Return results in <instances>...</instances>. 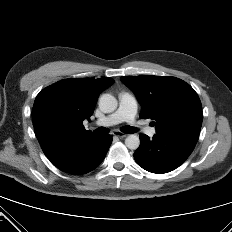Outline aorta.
<instances>
[{
    "label": "aorta",
    "instance_id": "aorta-1",
    "mask_svg": "<svg viewBox=\"0 0 232 232\" xmlns=\"http://www.w3.org/2000/svg\"><path fill=\"white\" fill-rule=\"evenodd\" d=\"M118 102L111 94H103L99 98V108L104 113H111L117 109ZM125 145L131 150H136L140 145V139L137 135L131 134L126 137Z\"/></svg>",
    "mask_w": 232,
    "mask_h": 232
}]
</instances>
